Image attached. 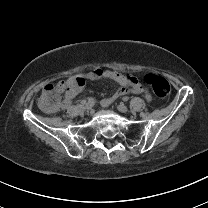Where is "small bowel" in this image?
Segmentation results:
<instances>
[{"label": "small bowel", "mask_w": 208, "mask_h": 208, "mask_svg": "<svg viewBox=\"0 0 208 208\" xmlns=\"http://www.w3.org/2000/svg\"><path fill=\"white\" fill-rule=\"evenodd\" d=\"M101 76L111 79L121 86V88L115 91L113 94L102 99L101 106L104 108L109 107L115 100L130 92L143 94L147 100L151 99L148 91L141 86L137 82L136 78L132 75L123 74L113 70H103L101 68H96L91 72L73 75L67 78L72 84V93L67 99L63 100L62 107L67 109L70 106L73 98L84 89L85 83L88 80H94Z\"/></svg>", "instance_id": "obj_1"}]
</instances>
